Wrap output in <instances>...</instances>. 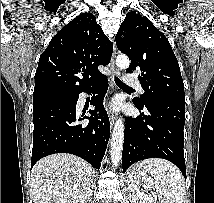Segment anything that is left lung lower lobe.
I'll use <instances>...</instances> for the list:
<instances>
[{
	"instance_id": "1",
	"label": "left lung lower lobe",
	"mask_w": 214,
	"mask_h": 203,
	"mask_svg": "<svg viewBox=\"0 0 214 203\" xmlns=\"http://www.w3.org/2000/svg\"><path fill=\"white\" fill-rule=\"evenodd\" d=\"M137 118L127 117L122 152L123 172L133 163L163 158L175 164L186 178L184 160L185 104L154 101L140 108Z\"/></svg>"
}]
</instances>
